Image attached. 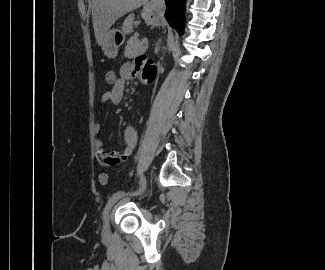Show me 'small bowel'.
Returning a JSON list of instances; mask_svg holds the SVG:
<instances>
[{
  "label": "small bowel",
  "mask_w": 325,
  "mask_h": 270,
  "mask_svg": "<svg viewBox=\"0 0 325 270\" xmlns=\"http://www.w3.org/2000/svg\"><path fill=\"white\" fill-rule=\"evenodd\" d=\"M138 74L146 82L154 80L157 75V66L155 62L146 56H139L136 58L134 65L132 63H125L122 65L117 74L119 78V86L114 90L105 92L102 95L101 102H109L114 105L120 104L124 99L126 81L136 78ZM100 131L101 125L97 122L93 126V133L96 136L94 141L95 156L99 164L103 166H113L127 159L132 154L137 142V132L134 127L127 126L123 131V139L125 143V149L123 152H106L103 141L97 138Z\"/></svg>",
  "instance_id": "small-bowel-1"
}]
</instances>
